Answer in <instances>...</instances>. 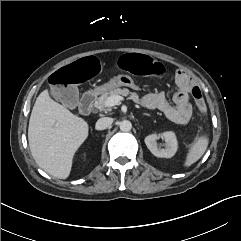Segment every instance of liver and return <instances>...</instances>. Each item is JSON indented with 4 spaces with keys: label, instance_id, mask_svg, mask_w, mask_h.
I'll use <instances>...</instances> for the list:
<instances>
[{
    "label": "liver",
    "instance_id": "1",
    "mask_svg": "<svg viewBox=\"0 0 241 241\" xmlns=\"http://www.w3.org/2000/svg\"><path fill=\"white\" fill-rule=\"evenodd\" d=\"M88 123L42 91L33 106L28 142L37 165L59 179L69 177L75 152L88 137Z\"/></svg>",
    "mask_w": 241,
    "mask_h": 241
}]
</instances>
